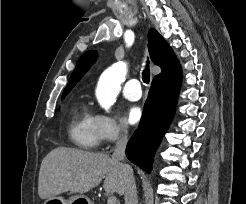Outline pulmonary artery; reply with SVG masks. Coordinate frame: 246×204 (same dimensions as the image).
Returning <instances> with one entry per match:
<instances>
[{
    "mask_svg": "<svg viewBox=\"0 0 246 204\" xmlns=\"http://www.w3.org/2000/svg\"><path fill=\"white\" fill-rule=\"evenodd\" d=\"M123 95L126 99L131 100V101L139 100L142 95L139 80L137 79L129 80L123 88Z\"/></svg>",
    "mask_w": 246,
    "mask_h": 204,
    "instance_id": "1",
    "label": "pulmonary artery"
}]
</instances>
